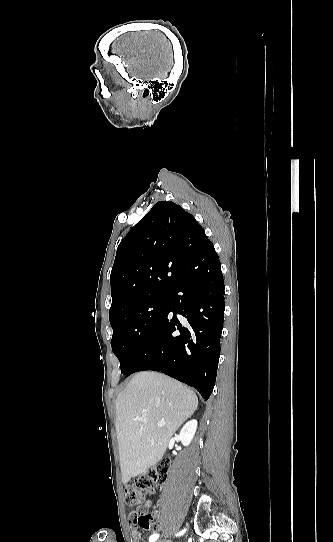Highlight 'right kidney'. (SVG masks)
Returning <instances> with one entry per match:
<instances>
[{
	"label": "right kidney",
	"mask_w": 333,
	"mask_h": 542,
	"mask_svg": "<svg viewBox=\"0 0 333 542\" xmlns=\"http://www.w3.org/2000/svg\"><path fill=\"white\" fill-rule=\"evenodd\" d=\"M197 426V420H190V422H187V424L183 426L179 434V440L182 442L183 446H189V444H191L197 430Z\"/></svg>",
	"instance_id": "obj_1"
}]
</instances>
